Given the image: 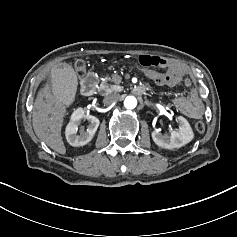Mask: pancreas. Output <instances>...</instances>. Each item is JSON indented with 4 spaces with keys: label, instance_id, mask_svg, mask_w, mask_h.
Listing matches in <instances>:
<instances>
[{
    "label": "pancreas",
    "instance_id": "cf45deb5",
    "mask_svg": "<svg viewBox=\"0 0 237 237\" xmlns=\"http://www.w3.org/2000/svg\"><path fill=\"white\" fill-rule=\"evenodd\" d=\"M99 91L104 93V94L109 93V92H114L113 85H110L107 82H102V84L99 88Z\"/></svg>",
    "mask_w": 237,
    "mask_h": 237
}]
</instances>
